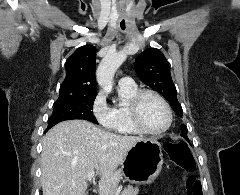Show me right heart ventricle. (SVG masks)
<instances>
[{"mask_svg": "<svg viewBox=\"0 0 240 195\" xmlns=\"http://www.w3.org/2000/svg\"><path fill=\"white\" fill-rule=\"evenodd\" d=\"M137 92L138 88L134 83L119 85V101L113 107V119L104 124L108 131H115V136L109 137L140 134L130 115V102Z\"/></svg>", "mask_w": 240, "mask_h": 195, "instance_id": "e07e8e85", "label": "right heart ventricle"}]
</instances>
